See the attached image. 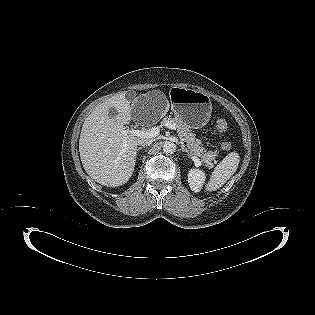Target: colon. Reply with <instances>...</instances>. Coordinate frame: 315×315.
Wrapping results in <instances>:
<instances>
[{"instance_id": "colon-1", "label": "colon", "mask_w": 315, "mask_h": 315, "mask_svg": "<svg viewBox=\"0 0 315 315\" xmlns=\"http://www.w3.org/2000/svg\"><path fill=\"white\" fill-rule=\"evenodd\" d=\"M216 128L220 132H225L228 129V122L225 119L220 118L216 121ZM222 148L225 150H229L231 148V143L224 142L222 144Z\"/></svg>"}]
</instances>
